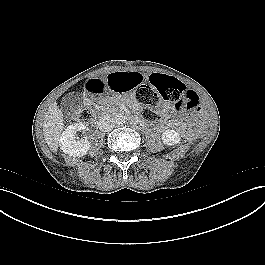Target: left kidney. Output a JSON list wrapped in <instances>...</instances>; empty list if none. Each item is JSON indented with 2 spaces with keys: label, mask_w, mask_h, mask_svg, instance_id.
Returning a JSON list of instances; mask_svg holds the SVG:
<instances>
[{
  "label": "left kidney",
  "mask_w": 265,
  "mask_h": 265,
  "mask_svg": "<svg viewBox=\"0 0 265 265\" xmlns=\"http://www.w3.org/2000/svg\"><path fill=\"white\" fill-rule=\"evenodd\" d=\"M162 140L165 145L172 146L180 143L181 137L175 130H166L162 134Z\"/></svg>",
  "instance_id": "5707ae66"
}]
</instances>
